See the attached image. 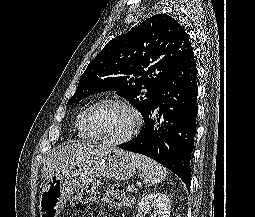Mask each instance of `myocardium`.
<instances>
[{"label":"myocardium","mask_w":255,"mask_h":217,"mask_svg":"<svg viewBox=\"0 0 255 217\" xmlns=\"http://www.w3.org/2000/svg\"><path fill=\"white\" fill-rule=\"evenodd\" d=\"M105 104L121 105L127 108L133 116V125L131 126L130 130L123 137L119 139L109 140V139L102 138L97 133H95V131L93 130L91 126V123H90L91 113L93 112L95 108ZM83 121H84L85 129L87 130V132L92 138H94L95 140L103 144L110 145V146H118L130 141L138 133V131L140 130L142 126V117L139 110L130 101L123 98H117V97L101 99L93 103L92 105H90L85 111Z\"/></svg>","instance_id":"obj_1"}]
</instances>
